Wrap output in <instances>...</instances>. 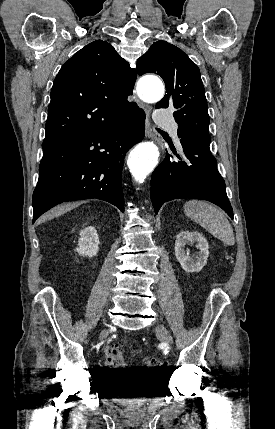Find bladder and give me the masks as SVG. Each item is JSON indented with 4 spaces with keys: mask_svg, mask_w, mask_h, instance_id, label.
I'll list each match as a JSON object with an SVG mask.
<instances>
[{
    "mask_svg": "<svg viewBox=\"0 0 275 429\" xmlns=\"http://www.w3.org/2000/svg\"><path fill=\"white\" fill-rule=\"evenodd\" d=\"M108 385L106 398H117V403H146L155 393L152 377H109Z\"/></svg>",
    "mask_w": 275,
    "mask_h": 429,
    "instance_id": "obj_1",
    "label": "bladder"
}]
</instances>
